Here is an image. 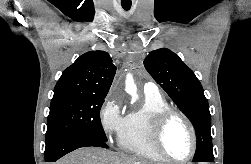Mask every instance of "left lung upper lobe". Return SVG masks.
Here are the masks:
<instances>
[{
  "instance_id": "1",
  "label": "left lung upper lobe",
  "mask_w": 251,
  "mask_h": 164,
  "mask_svg": "<svg viewBox=\"0 0 251 164\" xmlns=\"http://www.w3.org/2000/svg\"><path fill=\"white\" fill-rule=\"evenodd\" d=\"M144 66L192 122L197 135L193 160H214L209 105L193 71L166 48L152 51Z\"/></svg>"
}]
</instances>
